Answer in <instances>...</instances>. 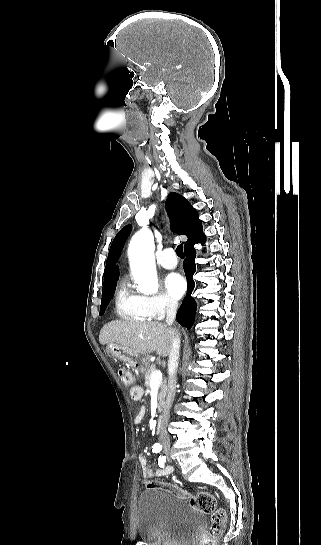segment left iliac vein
<instances>
[{"label": "left iliac vein", "instance_id": "4c4485c4", "mask_svg": "<svg viewBox=\"0 0 321 545\" xmlns=\"http://www.w3.org/2000/svg\"><path fill=\"white\" fill-rule=\"evenodd\" d=\"M166 457H167L168 461H171V456H170L169 452L166 453Z\"/></svg>", "mask_w": 321, "mask_h": 545}]
</instances>
